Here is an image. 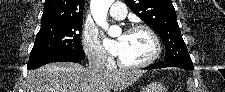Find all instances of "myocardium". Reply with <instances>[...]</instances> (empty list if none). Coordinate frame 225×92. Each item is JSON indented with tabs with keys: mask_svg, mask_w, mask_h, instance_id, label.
Returning a JSON list of instances; mask_svg holds the SVG:
<instances>
[{
	"mask_svg": "<svg viewBox=\"0 0 225 92\" xmlns=\"http://www.w3.org/2000/svg\"><path fill=\"white\" fill-rule=\"evenodd\" d=\"M135 31H145L149 34V36L151 37L153 44H154L153 54L151 55V57H149L145 61H143L141 63H136V64H127V63L123 62L120 58H118L117 62L121 68H125V69L145 68V67L151 65L152 63H154L161 54L162 47H161V42H160L159 36L150 26L145 25V24H134L126 30L127 33L135 32Z\"/></svg>",
	"mask_w": 225,
	"mask_h": 92,
	"instance_id": "myocardium-1",
	"label": "myocardium"
}]
</instances>
